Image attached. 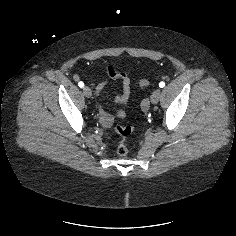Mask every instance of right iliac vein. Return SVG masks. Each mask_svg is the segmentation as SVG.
Segmentation results:
<instances>
[{
    "label": "right iliac vein",
    "mask_w": 236,
    "mask_h": 236,
    "mask_svg": "<svg viewBox=\"0 0 236 236\" xmlns=\"http://www.w3.org/2000/svg\"><path fill=\"white\" fill-rule=\"evenodd\" d=\"M83 94L87 97L90 98L92 96V91L89 87L85 86L83 87Z\"/></svg>",
    "instance_id": "obj_1"
}]
</instances>
